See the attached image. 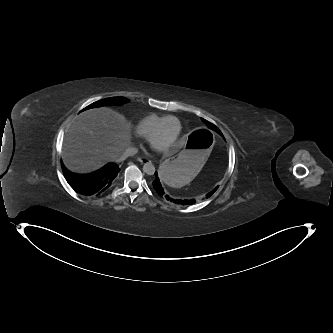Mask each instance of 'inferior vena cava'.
I'll return each mask as SVG.
<instances>
[{
  "instance_id": "inferior-vena-cava-1",
  "label": "inferior vena cava",
  "mask_w": 333,
  "mask_h": 333,
  "mask_svg": "<svg viewBox=\"0 0 333 333\" xmlns=\"http://www.w3.org/2000/svg\"><path fill=\"white\" fill-rule=\"evenodd\" d=\"M138 153V149L135 147H127L124 152H122L117 158L116 161H124L127 157L133 156Z\"/></svg>"
}]
</instances>
